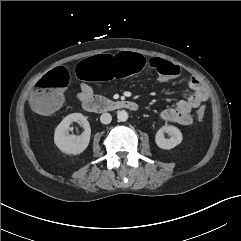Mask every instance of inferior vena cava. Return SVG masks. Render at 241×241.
<instances>
[{"mask_svg":"<svg viewBox=\"0 0 241 241\" xmlns=\"http://www.w3.org/2000/svg\"><path fill=\"white\" fill-rule=\"evenodd\" d=\"M100 121L102 124H109L112 121V116L109 113H103L100 116Z\"/></svg>","mask_w":241,"mask_h":241,"instance_id":"obj_1","label":"inferior vena cava"}]
</instances>
